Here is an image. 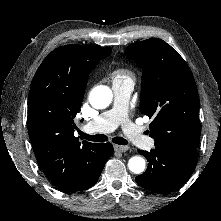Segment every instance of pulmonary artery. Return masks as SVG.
<instances>
[{"instance_id":"pulmonary-artery-1","label":"pulmonary artery","mask_w":221,"mask_h":221,"mask_svg":"<svg viewBox=\"0 0 221 221\" xmlns=\"http://www.w3.org/2000/svg\"><path fill=\"white\" fill-rule=\"evenodd\" d=\"M133 88L134 83L131 81L113 82L112 108L89 121L84 127L85 131L107 133L121 125L123 132L133 144L144 149L152 148L154 140L144 135L142 128L131 122L127 115L128 102Z\"/></svg>"}]
</instances>
